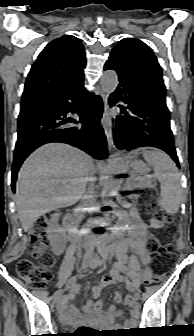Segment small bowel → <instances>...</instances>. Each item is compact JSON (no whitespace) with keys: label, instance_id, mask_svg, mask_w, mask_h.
<instances>
[{"label":"small bowel","instance_id":"1","mask_svg":"<svg viewBox=\"0 0 194 336\" xmlns=\"http://www.w3.org/2000/svg\"><path fill=\"white\" fill-rule=\"evenodd\" d=\"M129 237L121 240L116 248V256L118 264L110 274L104 276L100 284L93 287V297L95 301H88L84 305V321L95 325H112L120 316V313L114 306H110L103 315H98L103 309V303L98 300L102 289L106 286L113 285L122 280L119 272L128 270L136 282L141 279H147L151 276L150 261L151 257L147 249V228L143 221L139 218L136 212H131L129 215ZM127 249H131L143 264V270L140 274L137 262L134 259H129ZM115 300L122 301L120 293H115ZM77 312L73 306L68 305L64 301L61 305V321L65 325H74L77 323Z\"/></svg>","mask_w":194,"mask_h":336}]
</instances>
